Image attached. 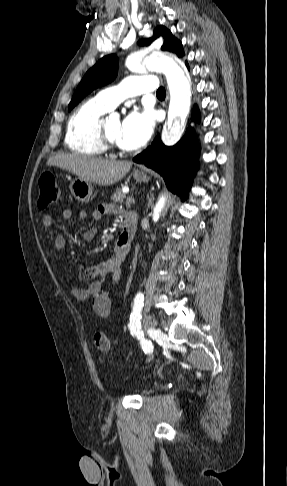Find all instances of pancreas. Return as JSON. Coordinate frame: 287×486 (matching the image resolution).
<instances>
[{"label": "pancreas", "mask_w": 287, "mask_h": 486, "mask_svg": "<svg viewBox=\"0 0 287 486\" xmlns=\"http://www.w3.org/2000/svg\"><path fill=\"white\" fill-rule=\"evenodd\" d=\"M125 199V194L121 191V189H117L115 193L111 196V200L115 203L122 204Z\"/></svg>", "instance_id": "pancreas-1"}]
</instances>
